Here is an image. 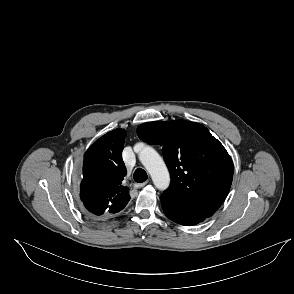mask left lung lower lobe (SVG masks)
Instances as JSON below:
<instances>
[{"label":"left lung lower lobe","instance_id":"0a47b994","mask_svg":"<svg viewBox=\"0 0 294 294\" xmlns=\"http://www.w3.org/2000/svg\"><path fill=\"white\" fill-rule=\"evenodd\" d=\"M162 209L165 215L176 223L191 226L200 223L205 218L189 212L188 210L171 205L160 197Z\"/></svg>","mask_w":294,"mask_h":294}]
</instances>
